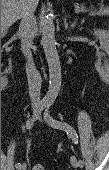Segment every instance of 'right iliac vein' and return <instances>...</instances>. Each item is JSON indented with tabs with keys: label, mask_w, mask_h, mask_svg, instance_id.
I'll return each mask as SVG.
<instances>
[{
	"label": "right iliac vein",
	"mask_w": 109,
	"mask_h": 170,
	"mask_svg": "<svg viewBox=\"0 0 109 170\" xmlns=\"http://www.w3.org/2000/svg\"><path fill=\"white\" fill-rule=\"evenodd\" d=\"M17 170H26V164L20 165Z\"/></svg>",
	"instance_id": "obj_1"
}]
</instances>
